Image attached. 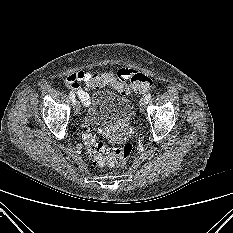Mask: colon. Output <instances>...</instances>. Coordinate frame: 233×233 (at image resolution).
Wrapping results in <instances>:
<instances>
[{
	"instance_id": "5ec220e1",
	"label": "colon",
	"mask_w": 233,
	"mask_h": 233,
	"mask_svg": "<svg viewBox=\"0 0 233 233\" xmlns=\"http://www.w3.org/2000/svg\"><path fill=\"white\" fill-rule=\"evenodd\" d=\"M90 88L99 89L104 86H111L118 90L121 94L125 95L130 89L146 92L152 85L151 79L139 72H135L131 76V83L128 86L123 80L117 79L114 75L109 73L95 72L90 79ZM84 142L87 150V154L95 165H124L128 161L132 153V145L126 143L120 147L108 149L106 146L99 142L93 131L90 128H86L84 131Z\"/></svg>"
}]
</instances>
